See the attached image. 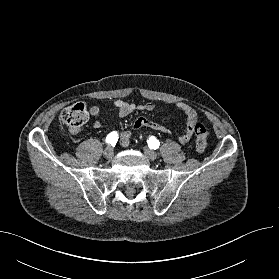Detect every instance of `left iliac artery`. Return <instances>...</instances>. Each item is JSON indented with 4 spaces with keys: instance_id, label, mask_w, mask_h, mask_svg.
I'll list each match as a JSON object with an SVG mask.
<instances>
[{
    "instance_id": "1",
    "label": "left iliac artery",
    "mask_w": 279,
    "mask_h": 279,
    "mask_svg": "<svg viewBox=\"0 0 279 279\" xmlns=\"http://www.w3.org/2000/svg\"><path fill=\"white\" fill-rule=\"evenodd\" d=\"M147 144L151 149H157L160 146V142L153 136L147 140Z\"/></svg>"
}]
</instances>
